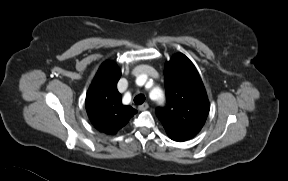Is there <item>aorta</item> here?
<instances>
[{"mask_svg":"<svg viewBox=\"0 0 288 181\" xmlns=\"http://www.w3.org/2000/svg\"><path fill=\"white\" fill-rule=\"evenodd\" d=\"M158 92H159V96L161 97L162 96V92L160 90H158Z\"/></svg>","mask_w":288,"mask_h":181,"instance_id":"obj_1","label":"aorta"}]
</instances>
